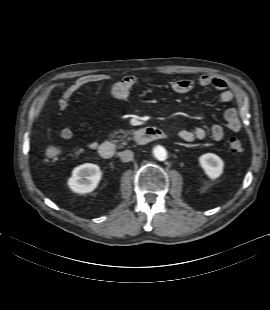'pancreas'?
Here are the masks:
<instances>
[{"mask_svg": "<svg viewBox=\"0 0 270 310\" xmlns=\"http://www.w3.org/2000/svg\"><path fill=\"white\" fill-rule=\"evenodd\" d=\"M123 132H124V131H123ZM124 133H125V132H124ZM116 134H117V133L111 134L110 137L113 138V137H115Z\"/></svg>", "mask_w": 270, "mask_h": 310, "instance_id": "pancreas-1", "label": "pancreas"}]
</instances>
